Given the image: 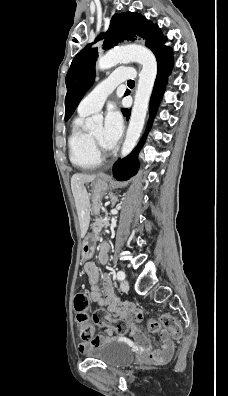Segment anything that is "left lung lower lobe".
<instances>
[{"instance_id":"obj_1","label":"left lung lower lobe","mask_w":228,"mask_h":396,"mask_svg":"<svg viewBox=\"0 0 228 396\" xmlns=\"http://www.w3.org/2000/svg\"><path fill=\"white\" fill-rule=\"evenodd\" d=\"M167 38L163 35L155 38L149 45L148 48L154 53L158 63V72L154 84L153 93L150 100V119L148 122V127L144 137L142 138L139 145L133 150V152L122 160H118L113 166V175L119 181L127 180L128 178L134 176L138 170V153L141 149L144 140L146 138L147 132L149 131L161 98L163 96L165 85L167 83V76L173 66V56L172 49L164 45ZM124 116L127 119L130 116V110L122 109Z\"/></svg>"}]
</instances>
